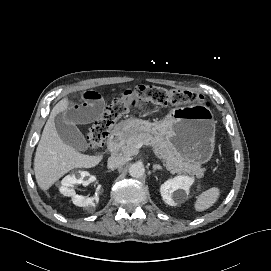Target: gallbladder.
<instances>
[{"label": "gallbladder", "mask_w": 271, "mask_h": 271, "mask_svg": "<svg viewBox=\"0 0 271 271\" xmlns=\"http://www.w3.org/2000/svg\"><path fill=\"white\" fill-rule=\"evenodd\" d=\"M56 130L60 138L69 146L78 151H86L88 143L76 125L69 123L66 118L59 114L55 118Z\"/></svg>", "instance_id": "obj_1"}]
</instances>
